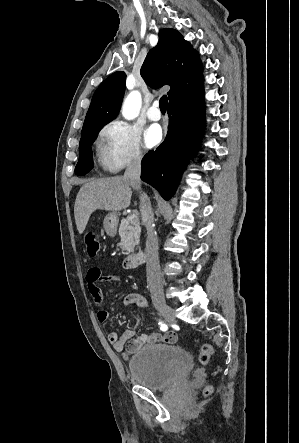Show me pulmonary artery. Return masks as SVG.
Here are the masks:
<instances>
[{
  "label": "pulmonary artery",
  "mask_w": 299,
  "mask_h": 443,
  "mask_svg": "<svg viewBox=\"0 0 299 443\" xmlns=\"http://www.w3.org/2000/svg\"><path fill=\"white\" fill-rule=\"evenodd\" d=\"M147 117L152 121H158L161 119V112L159 110V102L153 101L150 108L147 111Z\"/></svg>",
  "instance_id": "obj_1"
}]
</instances>
